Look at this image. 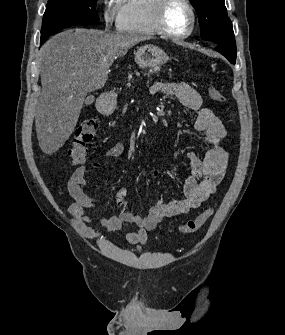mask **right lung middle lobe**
Instances as JSON below:
<instances>
[{"instance_id":"right-lung-middle-lobe-1","label":"right lung middle lobe","mask_w":285,"mask_h":335,"mask_svg":"<svg viewBox=\"0 0 285 335\" xmlns=\"http://www.w3.org/2000/svg\"><path fill=\"white\" fill-rule=\"evenodd\" d=\"M96 3L97 0H48L41 40L45 41L54 32L71 25L98 23Z\"/></svg>"}]
</instances>
